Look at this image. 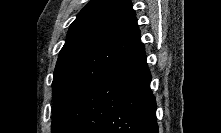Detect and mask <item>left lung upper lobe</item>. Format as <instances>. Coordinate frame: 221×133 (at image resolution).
Masks as SVG:
<instances>
[{"instance_id":"1","label":"left lung upper lobe","mask_w":221,"mask_h":133,"mask_svg":"<svg viewBox=\"0 0 221 133\" xmlns=\"http://www.w3.org/2000/svg\"><path fill=\"white\" fill-rule=\"evenodd\" d=\"M140 42L129 0H92L80 11L54 71L53 133L86 87Z\"/></svg>"}]
</instances>
